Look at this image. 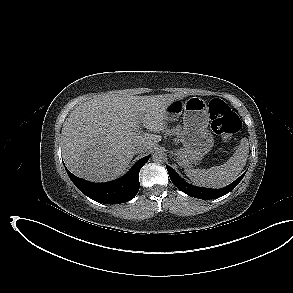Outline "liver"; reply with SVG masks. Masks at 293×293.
Instances as JSON below:
<instances>
[{
  "label": "liver",
  "mask_w": 293,
  "mask_h": 293,
  "mask_svg": "<svg viewBox=\"0 0 293 293\" xmlns=\"http://www.w3.org/2000/svg\"><path fill=\"white\" fill-rule=\"evenodd\" d=\"M183 93L154 96L97 95L77 106L62 128L63 157L79 178L106 182L123 174L143 146L147 153L161 137L137 131L141 124L155 133L166 129V108Z\"/></svg>",
  "instance_id": "1"
}]
</instances>
